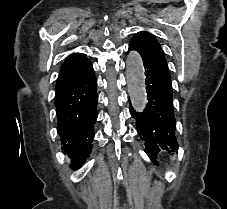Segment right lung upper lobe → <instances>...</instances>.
<instances>
[{"label":"right lung upper lobe","instance_id":"1","mask_svg":"<svg viewBox=\"0 0 227 209\" xmlns=\"http://www.w3.org/2000/svg\"><path fill=\"white\" fill-rule=\"evenodd\" d=\"M89 62H90V60L87 59L84 54L76 53V54H72L68 58H66L63 65L77 66V65H85ZM66 85H67V83L56 84L55 91L56 92L62 91L66 87Z\"/></svg>","mask_w":227,"mask_h":209}]
</instances>
